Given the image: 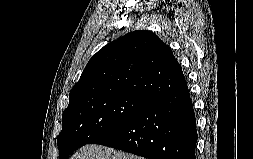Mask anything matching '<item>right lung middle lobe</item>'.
<instances>
[{
    "label": "right lung middle lobe",
    "instance_id": "obj_1",
    "mask_svg": "<svg viewBox=\"0 0 253 159\" xmlns=\"http://www.w3.org/2000/svg\"><path fill=\"white\" fill-rule=\"evenodd\" d=\"M150 102L134 94L95 95L69 102L57 138L59 159L116 129Z\"/></svg>",
    "mask_w": 253,
    "mask_h": 159
}]
</instances>
